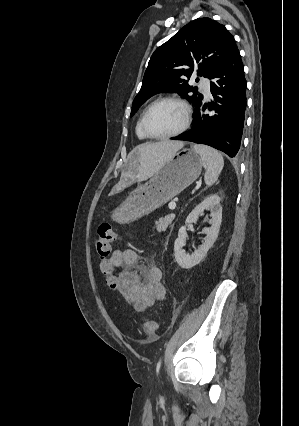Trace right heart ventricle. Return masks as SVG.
I'll use <instances>...</instances> for the list:
<instances>
[{
  "mask_svg": "<svg viewBox=\"0 0 299 426\" xmlns=\"http://www.w3.org/2000/svg\"><path fill=\"white\" fill-rule=\"evenodd\" d=\"M143 114H144V112L142 113L141 117L139 118V120H138V122H137V125H136V135H137V137H138L139 139H141V140H146V139H148L149 137H147V136L144 134V132H143V130H142V127H141V121H142Z\"/></svg>",
  "mask_w": 299,
  "mask_h": 426,
  "instance_id": "e07e8e85",
  "label": "right heart ventricle"
}]
</instances>
